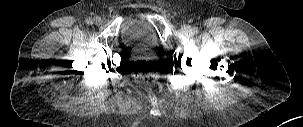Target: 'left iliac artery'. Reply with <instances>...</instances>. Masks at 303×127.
<instances>
[{
    "mask_svg": "<svg viewBox=\"0 0 303 127\" xmlns=\"http://www.w3.org/2000/svg\"><path fill=\"white\" fill-rule=\"evenodd\" d=\"M192 33H193V34H197V33H198V28L193 27V28H192Z\"/></svg>",
    "mask_w": 303,
    "mask_h": 127,
    "instance_id": "obj_1",
    "label": "left iliac artery"
}]
</instances>
